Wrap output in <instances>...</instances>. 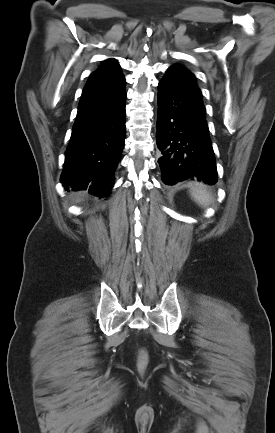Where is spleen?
Segmentation results:
<instances>
[{"instance_id": "spleen-1", "label": "spleen", "mask_w": 275, "mask_h": 433, "mask_svg": "<svg viewBox=\"0 0 275 433\" xmlns=\"http://www.w3.org/2000/svg\"><path fill=\"white\" fill-rule=\"evenodd\" d=\"M191 196L199 205H207L210 201V194L205 186L201 184L195 185L191 190Z\"/></svg>"}]
</instances>
